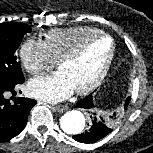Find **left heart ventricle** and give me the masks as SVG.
Wrapping results in <instances>:
<instances>
[{"instance_id":"left-heart-ventricle-1","label":"left heart ventricle","mask_w":153,"mask_h":153,"mask_svg":"<svg viewBox=\"0 0 153 153\" xmlns=\"http://www.w3.org/2000/svg\"><path fill=\"white\" fill-rule=\"evenodd\" d=\"M110 49V40L99 39L90 44L77 60L63 64L59 69L67 75L74 89L84 87L99 73Z\"/></svg>"}]
</instances>
